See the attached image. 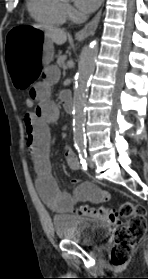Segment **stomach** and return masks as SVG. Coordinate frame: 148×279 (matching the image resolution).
<instances>
[{"label":"stomach","instance_id":"obj_1","mask_svg":"<svg viewBox=\"0 0 148 279\" xmlns=\"http://www.w3.org/2000/svg\"><path fill=\"white\" fill-rule=\"evenodd\" d=\"M10 29L4 35V44H8V49L23 50H5L8 79L18 85L13 87L14 91H30L42 67L53 58L52 41L36 25H11Z\"/></svg>","mask_w":148,"mask_h":279}]
</instances>
